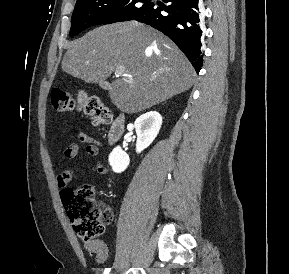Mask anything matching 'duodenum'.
Listing matches in <instances>:
<instances>
[{
    "label": "duodenum",
    "instance_id": "410a0bca",
    "mask_svg": "<svg viewBox=\"0 0 289 274\" xmlns=\"http://www.w3.org/2000/svg\"><path fill=\"white\" fill-rule=\"evenodd\" d=\"M125 129V116L123 114H118L114 117L111 122V126L108 132V142L109 144L116 143L124 133Z\"/></svg>",
    "mask_w": 289,
    "mask_h": 274
}]
</instances>
